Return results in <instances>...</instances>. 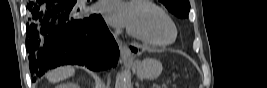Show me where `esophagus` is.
I'll return each mask as SVG.
<instances>
[{"instance_id": "1", "label": "esophagus", "mask_w": 267, "mask_h": 88, "mask_svg": "<svg viewBox=\"0 0 267 88\" xmlns=\"http://www.w3.org/2000/svg\"><path fill=\"white\" fill-rule=\"evenodd\" d=\"M117 44L119 46L121 60L124 63L132 62L134 60V58H133L132 53H131L129 47L127 46V44H125L123 41H121L118 38H117Z\"/></svg>"}]
</instances>
